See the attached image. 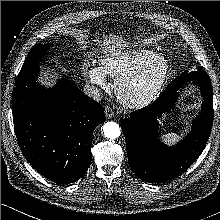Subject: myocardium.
<instances>
[{
    "instance_id": "myocardium-1",
    "label": "myocardium",
    "mask_w": 220,
    "mask_h": 220,
    "mask_svg": "<svg viewBox=\"0 0 220 220\" xmlns=\"http://www.w3.org/2000/svg\"><path fill=\"white\" fill-rule=\"evenodd\" d=\"M153 63L159 67L146 89L138 96H130L127 89L131 83L142 78ZM170 72V62L162 53H151L138 65L121 75L116 81V94L120 101L127 107L140 109L148 106L160 95Z\"/></svg>"
}]
</instances>
